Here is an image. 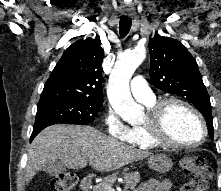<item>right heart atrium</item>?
Instances as JSON below:
<instances>
[{"mask_svg": "<svg viewBox=\"0 0 221 191\" xmlns=\"http://www.w3.org/2000/svg\"><path fill=\"white\" fill-rule=\"evenodd\" d=\"M104 124L112 137L123 141L129 138L130 128L119 118L112 107H108L104 114Z\"/></svg>", "mask_w": 221, "mask_h": 191, "instance_id": "d8ad5b80", "label": "right heart atrium"}]
</instances>
